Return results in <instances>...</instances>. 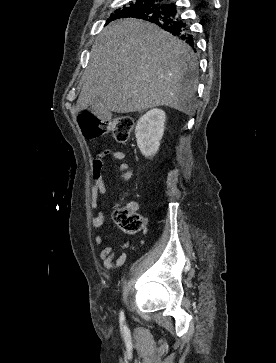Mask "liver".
<instances>
[{
    "instance_id": "6515ba94",
    "label": "liver",
    "mask_w": 276,
    "mask_h": 363,
    "mask_svg": "<svg viewBox=\"0 0 276 363\" xmlns=\"http://www.w3.org/2000/svg\"><path fill=\"white\" fill-rule=\"evenodd\" d=\"M197 67L193 50L180 39L149 22L118 20L95 39L76 110L101 97L115 113L168 106L190 115Z\"/></svg>"
}]
</instances>
